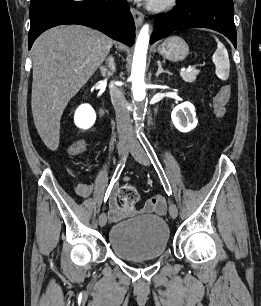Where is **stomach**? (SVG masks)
I'll use <instances>...</instances> for the list:
<instances>
[{
	"label": "stomach",
	"instance_id": "1",
	"mask_svg": "<svg viewBox=\"0 0 261 306\" xmlns=\"http://www.w3.org/2000/svg\"><path fill=\"white\" fill-rule=\"evenodd\" d=\"M158 53L170 61H181L189 54V47L181 37L171 36L158 47Z\"/></svg>",
	"mask_w": 261,
	"mask_h": 306
}]
</instances>
